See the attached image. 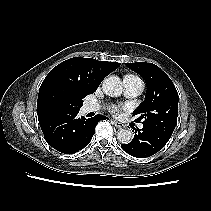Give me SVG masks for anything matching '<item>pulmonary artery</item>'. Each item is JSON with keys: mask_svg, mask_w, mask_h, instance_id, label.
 I'll use <instances>...</instances> for the list:
<instances>
[{"mask_svg": "<svg viewBox=\"0 0 211 211\" xmlns=\"http://www.w3.org/2000/svg\"><path fill=\"white\" fill-rule=\"evenodd\" d=\"M123 87H124V95L126 97H137L139 96L144 90V83L143 81L133 75H126L123 78ZM98 110V106L95 104H87L86 111L87 112H95ZM139 128H143V125L140 124Z\"/></svg>", "mask_w": 211, "mask_h": 211, "instance_id": "pulmonary-artery-1", "label": "pulmonary artery"}]
</instances>
